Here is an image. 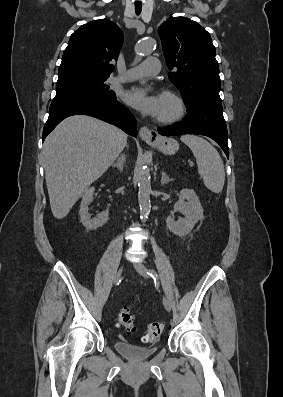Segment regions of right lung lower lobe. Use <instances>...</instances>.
<instances>
[{
  "mask_svg": "<svg viewBox=\"0 0 283 397\" xmlns=\"http://www.w3.org/2000/svg\"><path fill=\"white\" fill-rule=\"evenodd\" d=\"M89 115L113 124L127 134L137 136L136 120L128 109L117 99H109L88 93H68L55 96L49 117L44 126L42 140L63 119L71 115Z\"/></svg>",
  "mask_w": 283,
  "mask_h": 397,
  "instance_id": "98d812e1",
  "label": "right lung lower lobe"
}]
</instances>
